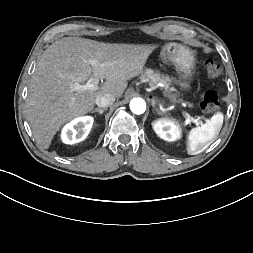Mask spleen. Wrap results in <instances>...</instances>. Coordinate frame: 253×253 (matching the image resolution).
<instances>
[{"mask_svg":"<svg viewBox=\"0 0 253 253\" xmlns=\"http://www.w3.org/2000/svg\"><path fill=\"white\" fill-rule=\"evenodd\" d=\"M223 118V114L218 112L205 124L191 129L187 138V153L189 155H196L206 149L207 144L219 134Z\"/></svg>","mask_w":253,"mask_h":253,"instance_id":"spleen-1","label":"spleen"}]
</instances>
